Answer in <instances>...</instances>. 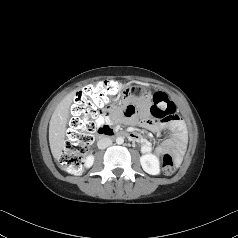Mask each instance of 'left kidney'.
Segmentation results:
<instances>
[{"label":"left kidney","mask_w":238,"mask_h":238,"mask_svg":"<svg viewBox=\"0 0 238 238\" xmlns=\"http://www.w3.org/2000/svg\"><path fill=\"white\" fill-rule=\"evenodd\" d=\"M140 163L146 173L150 175H158L160 173V162L156 155L152 153L142 155Z\"/></svg>","instance_id":"5707ae66"}]
</instances>
